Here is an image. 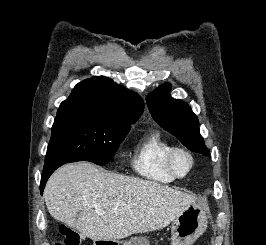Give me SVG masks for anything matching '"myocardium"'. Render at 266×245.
<instances>
[{
	"label": "myocardium",
	"mask_w": 266,
	"mask_h": 245,
	"mask_svg": "<svg viewBox=\"0 0 266 245\" xmlns=\"http://www.w3.org/2000/svg\"><path fill=\"white\" fill-rule=\"evenodd\" d=\"M178 154H184L186 155L190 160V167L189 170L184 175L178 174L176 167H175V159ZM166 165L169 172L176 178V179H185L188 176L191 175L193 172L195 165H196V159L194 153L183 146H173L169 149V151L166 154Z\"/></svg>",
	"instance_id": "myocardium-1"
}]
</instances>
